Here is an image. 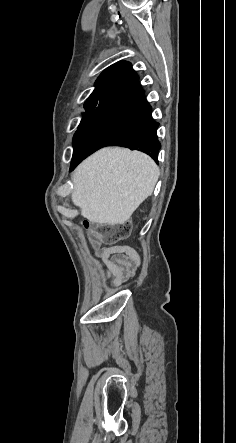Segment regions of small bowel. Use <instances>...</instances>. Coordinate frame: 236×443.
I'll use <instances>...</instances> for the list:
<instances>
[{"mask_svg": "<svg viewBox=\"0 0 236 443\" xmlns=\"http://www.w3.org/2000/svg\"><path fill=\"white\" fill-rule=\"evenodd\" d=\"M99 257L106 267L107 278L113 277L114 287L122 285L139 266L137 253L129 247H107L100 252Z\"/></svg>", "mask_w": 236, "mask_h": 443, "instance_id": "c3829d8e", "label": "small bowel"}]
</instances>
